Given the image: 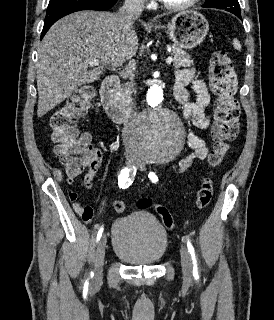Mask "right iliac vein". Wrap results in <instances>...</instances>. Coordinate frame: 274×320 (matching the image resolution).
Masks as SVG:
<instances>
[{
	"instance_id": "1",
	"label": "right iliac vein",
	"mask_w": 274,
	"mask_h": 320,
	"mask_svg": "<svg viewBox=\"0 0 274 320\" xmlns=\"http://www.w3.org/2000/svg\"><path fill=\"white\" fill-rule=\"evenodd\" d=\"M128 165L136 164L134 159L129 158L127 160ZM106 236L103 235L96 247L95 251V258H94V272H93V279H92V286L94 288H98L102 282V274H103V263L105 257V249H106Z\"/></svg>"
}]
</instances>
